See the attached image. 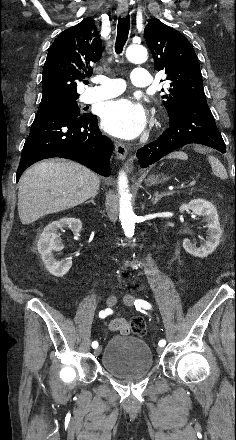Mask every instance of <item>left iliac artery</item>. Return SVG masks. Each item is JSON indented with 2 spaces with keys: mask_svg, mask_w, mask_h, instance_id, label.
<instances>
[{
  "mask_svg": "<svg viewBox=\"0 0 236 440\" xmlns=\"http://www.w3.org/2000/svg\"><path fill=\"white\" fill-rule=\"evenodd\" d=\"M134 305H135L136 309L140 310L141 312H144V311L141 310V308H144V309H150L151 308L150 303H148L147 301L142 300V299H136L135 302H134ZM158 345L160 347H164L166 345V341L164 339H162V340L159 341Z\"/></svg>",
  "mask_w": 236,
  "mask_h": 440,
  "instance_id": "44dca946",
  "label": "left iliac artery"
}]
</instances>
